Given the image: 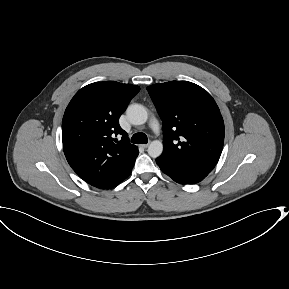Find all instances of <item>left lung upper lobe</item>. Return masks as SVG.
I'll list each match as a JSON object with an SVG mask.
<instances>
[{"label": "left lung upper lobe", "mask_w": 289, "mask_h": 289, "mask_svg": "<svg viewBox=\"0 0 289 289\" xmlns=\"http://www.w3.org/2000/svg\"><path fill=\"white\" fill-rule=\"evenodd\" d=\"M163 121L164 151L158 158L167 167L211 172L224 143V122L212 96L188 81L147 87Z\"/></svg>", "instance_id": "5c2ea615"}]
</instances>
